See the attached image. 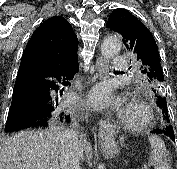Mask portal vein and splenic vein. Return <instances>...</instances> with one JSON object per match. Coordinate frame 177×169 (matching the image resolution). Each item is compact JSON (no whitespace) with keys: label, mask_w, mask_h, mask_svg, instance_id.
<instances>
[{"label":"portal vein and splenic vein","mask_w":177,"mask_h":169,"mask_svg":"<svg viewBox=\"0 0 177 169\" xmlns=\"http://www.w3.org/2000/svg\"><path fill=\"white\" fill-rule=\"evenodd\" d=\"M141 169H147V165L144 164V165L141 167Z\"/></svg>","instance_id":"18ae733b"}]
</instances>
